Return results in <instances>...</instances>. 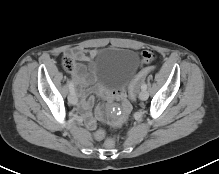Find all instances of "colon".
Segmentation results:
<instances>
[{
    "label": "colon",
    "mask_w": 219,
    "mask_h": 174,
    "mask_svg": "<svg viewBox=\"0 0 219 174\" xmlns=\"http://www.w3.org/2000/svg\"><path fill=\"white\" fill-rule=\"evenodd\" d=\"M64 67L68 71H72L74 67V62L71 58L65 57L64 59ZM153 71L152 67H144L142 68L132 79L129 87H128V95L131 100H135L136 98V92L139 84L141 81L151 72ZM94 137L98 140H102L105 138V132L103 130H97L94 132ZM117 140L116 136H109L105 138V145L108 148H112L115 145V142Z\"/></svg>",
    "instance_id": "5ec220e1"
}]
</instances>
